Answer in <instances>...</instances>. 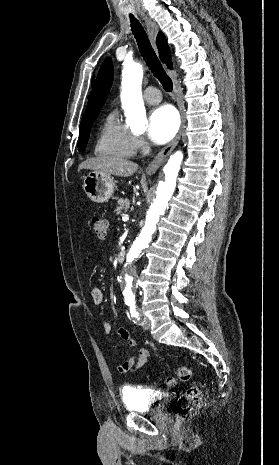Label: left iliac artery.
I'll return each mask as SVG.
<instances>
[{"mask_svg": "<svg viewBox=\"0 0 279 465\" xmlns=\"http://www.w3.org/2000/svg\"><path fill=\"white\" fill-rule=\"evenodd\" d=\"M130 313H131L132 317H135L138 320L140 319V314H139V311H138L136 305H134V304L130 305Z\"/></svg>", "mask_w": 279, "mask_h": 465, "instance_id": "obj_1", "label": "left iliac artery"}]
</instances>
